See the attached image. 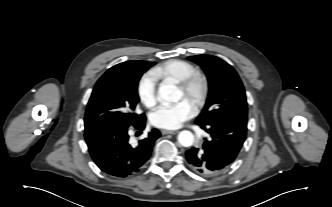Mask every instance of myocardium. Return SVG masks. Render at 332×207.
<instances>
[{"label": "myocardium", "mask_w": 332, "mask_h": 207, "mask_svg": "<svg viewBox=\"0 0 332 207\" xmlns=\"http://www.w3.org/2000/svg\"><path fill=\"white\" fill-rule=\"evenodd\" d=\"M178 86L184 97L195 106L200 107L204 103L208 92V79L204 73L194 71L188 77L178 82Z\"/></svg>", "instance_id": "f54148a6"}]
</instances>
